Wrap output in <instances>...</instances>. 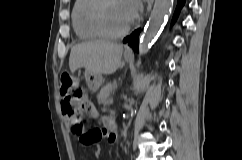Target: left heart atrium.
Returning a JSON list of instances; mask_svg holds the SVG:
<instances>
[{"instance_id": "obj_1", "label": "left heart atrium", "mask_w": 242, "mask_h": 160, "mask_svg": "<svg viewBox=\"0 0 242 160\" xmlns=\"http://www.w3.org/2000/svg\"><path fill=\"white\" fill-rule=\"evenodd\" d=\"M127 14L129 16L130 21L132 22L141 11L142 5L140 0H121Z\"/></svg>"}]
</instances>
